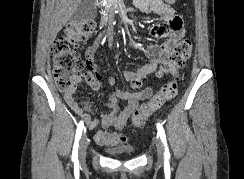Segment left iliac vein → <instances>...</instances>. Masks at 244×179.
Here are the masks:
<instances>
[{"label":"left iliac vein","mask_w":244,"mask_h":179,"mask_svg":"<svg viewBox=\"0 0 244 179\" xmlns=\"http://www.w3.org/2000/svg\"><path fill=\"white\" fill-rule=\"evenodd\" d=\"M157 155L160 161L164 159V146L161 140L156 139Z\"/></svg>","instance_id":"obj_1"}]
</instances>
